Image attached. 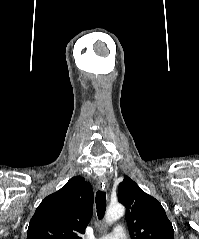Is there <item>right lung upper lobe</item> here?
<instances>
[{
    "label": "right lung upper lobe",
    "mask_w": 199,
    "mask_h": 239,
    "mask_svg": "<svg viewBox=\"0 0 199 239\" xmlns=\"http://www.w3.org/2000/svg\"><path fill=\"white\" fill-rule=\"evenodd\" d=\"M93 212V190L76 176L60 190L47 196L36 209L27 239H81Z\"/></svg>",
    "instance_id": "obj_1"
}]
</instances>
